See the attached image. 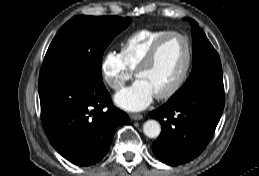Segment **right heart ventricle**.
<instances>
[{
  "instance_id": "obj_1",
  "label": "right heart ventricle",
  "mask_w": 259,
  "mask_h": 176,
  "mask_svg": "<svg viewBox=\"0 0 259 176\" xmlns=\"http://www.w3.org/2000/svg\"><path fill=\"white\" fill-rule=\"evenodd\" d=\"M167 32L166 29H141L129 35L120 51L127 67L135 71L152 45Z\"/></svg>"
}]
</instances>
